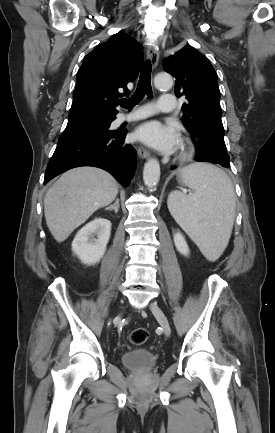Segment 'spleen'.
<instances>
[{
	"instance_id": "spleen-1",
	"label": "spleen",
	"mask_w": 275,
	"mask_h": 433,
	"mask_svg": "<svg viewBox=\"0 0 275 433\" xmlns=\"http://www.w3.org/2000/svg\"><path fill=\"white\" fill-rule=\"evenodd\" d=\"M180 178L194 193H170L169 211L202 254L215 261L224 252L233 229L236 202L232 182L223 170L205 163L182 168Z\"/></svg>"
}]
</instances>
